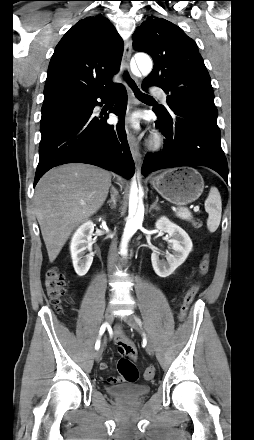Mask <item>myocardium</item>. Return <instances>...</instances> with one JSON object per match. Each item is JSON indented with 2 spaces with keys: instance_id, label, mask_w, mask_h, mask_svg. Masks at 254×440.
Here are the masks:
<instances>
[{
  "instance_id": "obj_1",
  "label": "myocardium",
  "mask_w": 254,
  "mask_h": 440,
  "mask_svg": "<svg viewBox=\"0 0 254 440\" xmlns=\"http://www.w3.org/2000/svg\"><path fill=\"white\" fill-rule=\"evenodd\" d=\"M163 145V137L161 135H155L152 139V146L154 148H159Z\"/></svg>"
}]
</instances>
